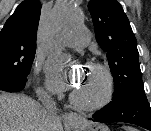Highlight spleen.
Instances as JSON below:
<instances>
[{
  "instance_id": "obj_1",
  "label": "spleen",
  "mask_w": 151,
  "mask_h": 131,
  "mask_svg": "<svg viewBox=\"0 0 151 131\" xmlns=\"http://www.w3.org/2000/svg\"><path fill=\"white\" fill-rule=\"evenodd\" d=\"M125 131H136L134 128L131 127H124Z\"/></svg>"
}]
</instances>
